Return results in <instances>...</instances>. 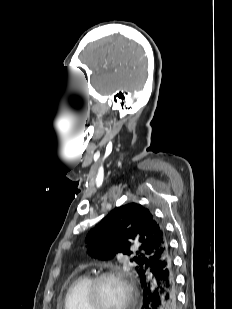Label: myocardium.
I'll return each instance as SVG.
<instances>
[{"mask_svg":"<svg viewBox=\"0 0 232 309\" xmlns=\"http://www.w3.org/2000/svg\"><path fill=\"white\" fill-rule=\"evenodd\" d=\"M108 279H114L119 281L126 290V301L122 309H131L134 300H135V290L133 287L132 282L128 278V276L119 269H112L100 272L93 276L90 280L86 291V302L88 304L89 309H100L99 307V297H98V290L100 284Z\"/></svg>","mask_w":232,"mask_h":309,"instance_id":"myocardium-1","label":"myocardium"}]
</instances>
